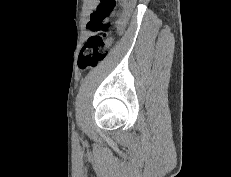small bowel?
<instances>
[{
    "label": "small bowel",
    "instance_id": "1",
    "mask_svg": "<svg viewBox=\"0 0 231 177\" xmlns=\"http://www.w3.org/2000/svg\"><path fill=\"white\" fill-rule=\"evenodd\" d=\"M125 26H126V20L125 19L120 20L118 23V31L120 33L123 32L125 29Z\"/></svg>",
    "mask_w": 231,
    "mask_h": 177
}]
</instances>
